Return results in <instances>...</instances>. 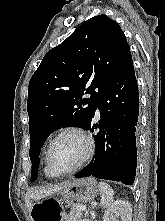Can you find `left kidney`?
Returning a JSON list of instances; mask_svg holds the SVG:
<instances>
[{
    "mask_svg": "<svg viewBox=\"0 0 165 221\" xmlns=\"http://www.w3.org/2000/svg\"><path fill=\"white\" fill-rule=\"evenodd\" d=\"M132 208L128 201H115L104 213L103 221H131Z\"/></svg>",
    "mask_w": 165,
    "mask_h": 221,
    "instance_id": "obj_1",
    "label": "left kidney"
}]
</instances>
